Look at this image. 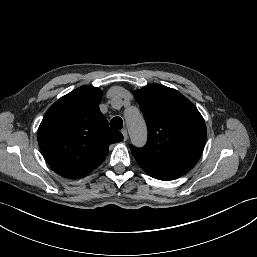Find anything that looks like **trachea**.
Returning <instances> with one entry per match:
<instances>
[{"label":"trachea","instance_id":"trachea-1","mask_svg":"<svg viewBox=\"0 0 257 257\" xmlns=\"http://www.w3.org/2000/svg\"><path fill=\"white\" fill-rule=\"evenodd\" d=\"M110 126L115 128V129H122L123 127V121L120 117H114L110 121Z\"/></svg>","mask_w":257,"mask_h":257}]
</instances>
